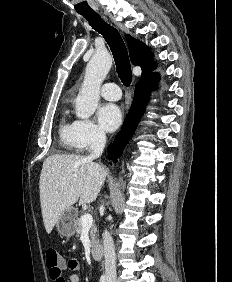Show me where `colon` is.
I'll return each instance as SVG.
<instances>
[{
	"mask_svg": "<svg viewBox=\"0 0 232 282\" xmlns=\"http://www.w3.org/2000/svg\"><path fill=\"white\" fill-rule=\"evenodd\" d=\"M45 261L51 275L59 276L61 274L63 260L53 247H47L45 249Z\"/></svg>",
	"mask_w": 232,
	"mask_h": 282,
	"instance_id": "obj_1",
	"label": "colon"
}]
</instances>
